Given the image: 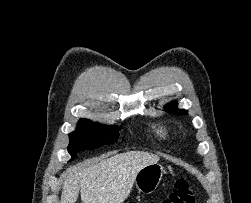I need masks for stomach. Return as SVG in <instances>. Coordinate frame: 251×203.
I'll use <instances>...</instances> for the list:
<instances>
[{
	"mask_svg": "<svg viewBox=\"0 0 251 203\" xmlns=\"http://www.w3.org/2000/svg\"><path fill=\"white\" fill-rule=\"evenodd\" d=\"M164 168L158 163L149 164L138 171L135 179L136 188L143 194H151L158 187Z\"/></svg>",
	"mask_w": 251,
	"mask_h": 203,
	"instance_id": "obj_1",
	"label": "stomach"
}]
</instances>
